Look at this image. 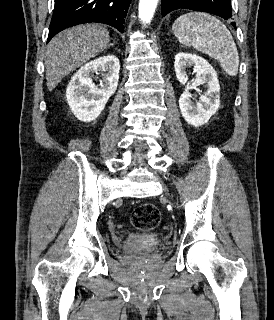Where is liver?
Instances as JSON below:
<instances>
[{
	"label": "liver",
	"mask_w": 274,
	"mask_h": 320,
	"mask_svg": "<svg viewBox=\"0 0 274 320\" xmlns=\"http://www.w3.org/2000/svg\"><path fill=\"white\" fill-rule=\"evenodd\" d=\"M109 32L102 24H81L52 38L46 48V86L52 92L62 78L108 48Z\"/></svg>",
	"instance_id": "1"
}]
</instances>
